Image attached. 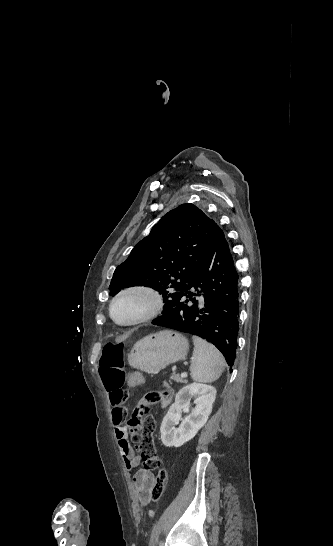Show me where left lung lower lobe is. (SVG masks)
<instances>
[{
  "label": "left lung lower lobe",
  "mask_w": 333,
  "mask_h": 546,
  "mask_svg": "<svg viewBox=\"0 0 333 546\" xmlns=\"http://www.w3.org/2000/svg\"><path fill=\"white\" fill-rule=\"evenodd\" d=\"M195 296L203 298L197 300ZM172 301L173 308L153 320V324L208 340L232 367L239 330V275L219 226L209 252L194 271L187 288Z\"/></svg>",
  "instance_id": "0a47b994"
}]
</instances>
